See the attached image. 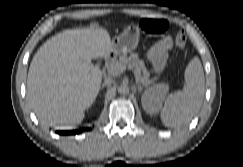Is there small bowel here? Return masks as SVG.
Here are the masks:
<instances>
[{
    "label": "small bowel",
    "mask_w": 243,
    "mask_h": 167,
    "mask_svg": "<svg viewBox=\"0 0 243 167\" xmlns=\"http://www.w3.org/2000/svg\"><path fill=\"white\" fill-rule=\"evenodd\" d=\"M171 45V39L169 37H165L155 43L149 50L148 60L152 64L155 72H158L163 68Z\"/></svg>",
    "instance_id": "obj_1"
}]
</instances>
